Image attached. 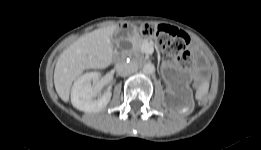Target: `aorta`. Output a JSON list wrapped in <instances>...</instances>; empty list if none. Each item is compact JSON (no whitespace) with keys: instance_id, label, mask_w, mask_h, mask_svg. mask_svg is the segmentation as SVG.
<instances>
[{"instance_id":"1","label":"aorta","mask_w":261,"mask_h":150,"mask_svg":"<svg viewBox=\"0 0 261 150\" xmlns=\"http://www.w3.org/2000/svg\"><path fill=\"white\" fill-rule=\"evenodd\" d=\"M154 70H155V66L152 63H146L143 66V73L144 74H152L154 72Z\"/></svg>"}]
</instances>
